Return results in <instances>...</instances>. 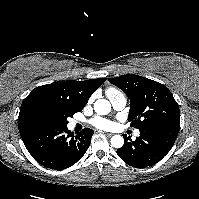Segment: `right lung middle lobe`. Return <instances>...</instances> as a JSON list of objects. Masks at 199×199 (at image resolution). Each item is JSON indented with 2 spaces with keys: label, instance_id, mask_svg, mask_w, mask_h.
I'll return each mask as SVG.
<instances>
[{
  "label": "right lung middle lobe",
  "instance_id": "1",
  "mask_svg": "<svg viewBox=\"0 0 199 199\" xmlns=\"http://www.w3.org/2000/svg\"><path fill=\"white\" fill-rule=\"evenodd\" d=\"M73 110L67 105L55 101L49 104L32 106L18 118L19 128L32 127H62L67 126V118L72 117Z\"/></svg>",
  "mask_w": 199,
  "mask_h": 199
}]
</instances>
